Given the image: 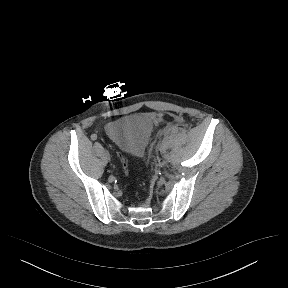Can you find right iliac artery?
<instances>
[{
    "label": "right iliac artery",
    "mask_w": 288,
    "mask_h": 288,
    "mask_svg": "<svg viewBox=\"0 0 288 288\" xmlns=\"http://www.w3.org/2000/svg\"><path fill=\"white\" fill-rule=\"evenodd\" d=\"M91 139H92V140H96V139H97V135H96V134H92V135H91Z\"/></svg>",
    "instance_id": "right-iliac-artery-1"
}]
</instances>
